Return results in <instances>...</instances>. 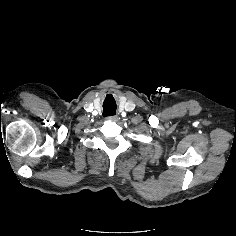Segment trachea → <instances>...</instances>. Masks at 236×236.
<instances>
[{"mask_svg": "<svg viewBox=\"0 0 236 236\" xmlns=\"http://www.w3.org/2000/svg\"><path fill=\"white\" fill-rule=\"evenodd\" d=\"M116 102L114 99L106 98L103 103V116H112L116 114Z\"/></svg>", "mask_w": 236, "mask_h": 236, "instance_id": "obj_1", "label": "trachea"}]
</instances>
